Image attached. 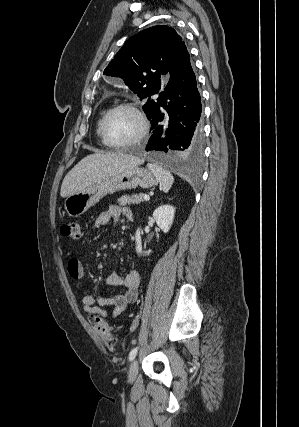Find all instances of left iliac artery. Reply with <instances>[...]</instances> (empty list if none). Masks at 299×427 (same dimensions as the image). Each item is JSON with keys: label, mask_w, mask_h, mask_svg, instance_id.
<instances>
[{"label": "left iliac artery", "mask_w": 299, "mask_h": 427, "mask_svg": "<svg viewBox=\"0 0 299 427\" xmlns=\"http://www.w3.org/2000/svg\"><path fill=\"white\" fill-rule=\"evenodd\" d=\"M137 351H138V348L136 347V348H133L132 350H131V352L129 353V360L130 361H132L134 358H135V356H136V354H137Z\"/></svg>", "instance_id": "left-iliac-artery-1"}]
</instances>
